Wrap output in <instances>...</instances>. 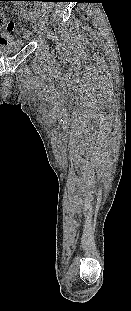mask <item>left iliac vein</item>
<instances>
[{
    "instance_id": "obj_1",
    "label": "left iliac vein",
    "mask_w": 131,
    "mask_h": 311,
    "mask_svg": "<svg viewBox=\"0 0 131 311\" xmlns=\"http://www.w3.org/2000/svg\"><path fill=\"white\" fill-rule=\"evenodd\" d=\"M47 33V28L44 24H41L39 27V34L40 35H45Z\"/></svg>"
}]
</instances>
